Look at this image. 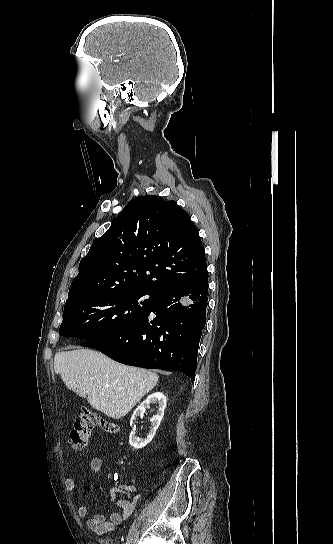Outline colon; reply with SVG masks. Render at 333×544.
I'll use <instances>...</instances> for the list:
<instances>
[{"mask_svg": "<svg viewBox=\"0 0 333 544\" xmlns=\"http://www.w3.org/2000/svg\"><path fill=\"white\" fill-rule=\"evenodd\" d=\"M97 427L109 434L119 432V425L115 421L107 419L95 411L84 409L70 432L69 440L72 448L77 452L82 451L87 446L92 431Z\"/></svg>", "mask_w": 333, "mask_h": 544, "instance_id": "obj_1", "label": "colon"}]
</instances>
